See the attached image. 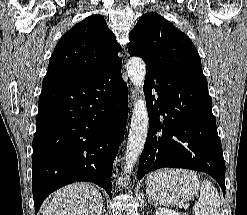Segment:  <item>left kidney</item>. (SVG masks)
<instances>
[{
    "label": "left kidney",
    "mask_w": 247,
    "mask_h": 215,
    "mask_svg": "<svg viewBox=\"0 0 247 215\" xmlns=\"http://www.w3.org/2000/svg\"><path fill=\"white\" fill-rule=\"evenodd\" d=\"M155 215H181L180 213L178 212H175L171 209H167V208H158L156 211H155Z\"/></svg>",
    "instance_id": "left-kidney-1"
}]
</instances>
